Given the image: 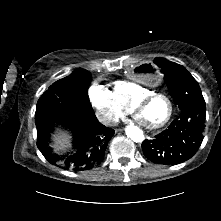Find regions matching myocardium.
Segmentation results:
<instances>
[{
    "label": "myocardium",
    "instance_id": "f54148a6",
    "mask_svg": "<svg viewBox=\"0 0 221 221\" xmlns=\"http://www.w3.org/2000/svg\"><path fill=\"white\" fill-rule=\"evenodd\" d=\"M157 97H161V98H164L168 104H169V112L167 114V116L162 120L160 121L159 123H156V124H148L146 122H144L142 119H141V112H142V109L154 98H157ZM174 103L172 101V99L164 94V93H161V92H151L143 97H141L140 99H138L132 106V111L134 112V115L135 117L140 121L141 125L144 126L145 128L147 129H159V128H162L164 127L170 120L171 118L173 117V114H174Z\"/></svg>",
    "mask_w": 221,
    "mask_h": 221
}]
</instances>
